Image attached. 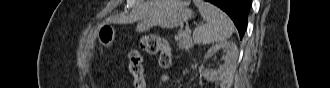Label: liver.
I'll use <instances>...</instances> for the list:
<instances>
[{"label":"liver","mask_w":330,"mask_h":88,"mask_svg":"<svg viewBox=\"0 0 330 88\" xmlns=\"http://www.w3.org/2000/svg\"><path fill=\"white\" fill-rule=\"evenodd\" d=\"M154 2L155 1L153 0L142 2L141 4L137 5L130 12V14L126 18H124V20L128 22H134V21L146 19L152 10Z\"/></svg>","instance_id":"liver-1"}]
</instances>
